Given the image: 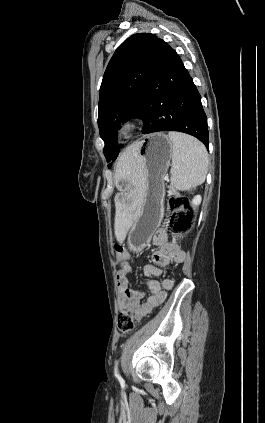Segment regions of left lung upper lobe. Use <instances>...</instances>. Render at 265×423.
Instances as JSON below:
<instances>
[{
    "instance_id": "1",
    "label": "left lung upper lobe",
    "mask_w": 265,
    "mask_h": 423,
    "mask_svg": "<svg viewBox=\"0 0 265 423\" xmlns=\"http://www.w3.org/2000/svg\"><path fill=\"white\" fill-rule=\"evenodd\" d=\"M162 43L154 34H134L117 48L106 68L99 92L98 126L107 161L115 160L122 147L117 145L120 124L137 117Z\"/></svg>"
}]
</instances>
